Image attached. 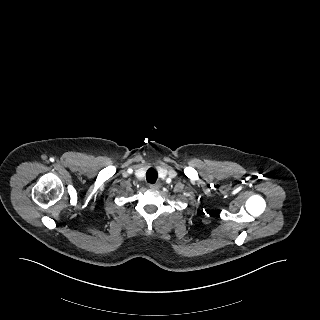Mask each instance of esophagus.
<instances>
[{
  "label": "esophagus",
  "mask_w": 320,
  "mask_h": 320,
  "mask_svg": "<svg viewBox=\"0 0 320 320\" xmlns=\"http://www.w3.org/2000/svg\"><path fill=\"white\" fill-rule=\"evenodd\" d=\"M160 187V183L149 184L150 189H158Z\"/></svg>",
  "instance_id": "obj_1"
}]
</instances>
